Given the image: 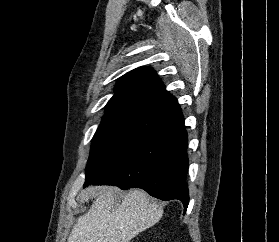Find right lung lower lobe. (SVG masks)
Segmentation results:
<instances>
[{"label":"right lung lower lobe","mask_w":279,"mask_h":242,"mask_svg":"<svg viewBox=\"0 0 279 242\" xmlns=\"http://www.w3.org/2000/svg\"><path fill=\"white\" fill-rule=\"evenodd\" d=\"M187 138L181 109L166 113L147 141L102 176L86 179L84 186L115 185L123 190L137 187L161 200L178 199L186 211L189 203Z\"/></svg>","instance_id":"obj_1"}]
</instances>
